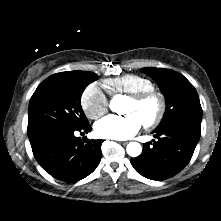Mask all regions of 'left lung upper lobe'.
<instances>
[{
	"label": "left lung upper lobe",
	"mask_w": 221,
	"mask_h": 221,
	"mask_svg": "<svg viewBox=\"0 0 221 221\" xmlns=\"http://www.w3.org/2000/svg\"><path fill=\"white\" fill-rule=\"evenodd\" d=\"M142 72L150 75L166 98V112L157 128L178 119L201 122L202 108L194 86L180 73L164 68L146 67Z\"/></svg>",
	"instance_id": "left-lung-upper-lobe-1"
}]
</instances>
